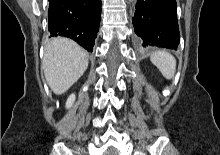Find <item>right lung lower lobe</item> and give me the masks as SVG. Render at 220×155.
I'll use <instances>...</instances> for the list:
<instances>
[{
  "mask_svg": "<svg viewBox=\"0 0 220 155\" xmlns=\"http://www.w3.org/2000/svg\"><path fill=\"white\" fill-rule=\"evenodd\" d=\"M100 17L101 0H49L50 34L69 37L87 51L93 50Z\"/></svg>",
  "mask_w": 220,
  "mask_h": 155,
  "instance_id": "right-lung-lower-lobe-1",
  "label": "right lung lower lobe"
}]
</instances>
